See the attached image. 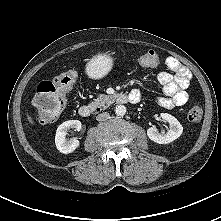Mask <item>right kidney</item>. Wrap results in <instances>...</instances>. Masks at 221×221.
<instances>
[{"label": "right kidney", "mask_w": 221, "mask_h": 221, "mask_svg": "<svg viewBox=\"0 0 221 221\" xmlns=\"http://www.w3.org/2000/svg\"><path fill=\"white\" fill-rule=\"evenodd\" d=\"M82 124L79 120H69L58 126L55 135V144L57 149L63 154H69L75 151L80 145L79 141L74 138L68 140L66 138L67 131L72 128L75 131H80Z\"/></svg>", "instance_id": "1"}]
</instances>
